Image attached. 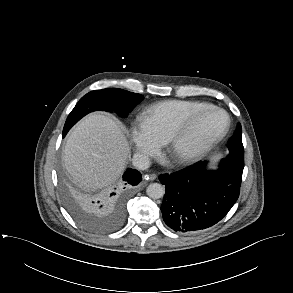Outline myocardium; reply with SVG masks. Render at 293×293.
I'll return each instance as SVG.
<instances>
[{
    "mask_svg": "<svg viewBox=\"0 0 293 293\" xmlns=\"http://www.w3.org/2000/svg\"><path fill=\"white\" fill-rule=\"evenodd\" d=\"M208 111H217L222 113L225 117V123L223 128L209 139L204 144L187 151H181L180 145L187 137L197 120ZM230 128V117L228 113L217 106L208 105L203 107L192 114H190L168 137L167 149L169 153L174 157L176 163L181 165H187L198 161L209 153L227 134Z\"/></svg>",
    "mask_w": 293,
    "mask_h": 293,
    "instance_id": "1",
    "label": "myocardium"
}]
</instances>
